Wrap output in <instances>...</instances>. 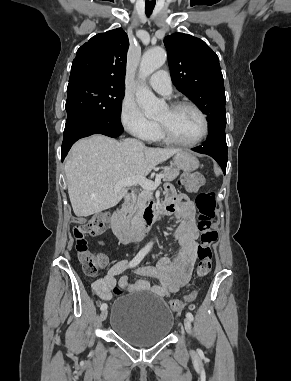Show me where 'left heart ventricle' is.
<instances>
[{"label":"left heart ventricle","mask_w":291,"mask_h":381,"mask_svg":"<svg viewBox=\"0 0 291 381\" xmlns=\"http://www.w3.org/2000/svg\"><path fill=\"white\" fill-rule=\"evenodd\" d=\"M179 140L190 142L197 139L203 129L200 116L190 108H183L171 112L169 108L163 110L156 119Z\"/></svg>","instance_id":"left-heart-ventricle-1"}]
</instances>
